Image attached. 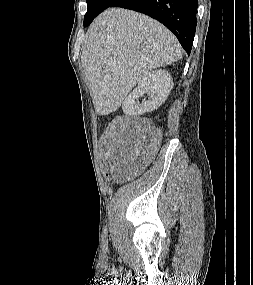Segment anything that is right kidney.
Returning a JSON list of instances; mask_svg holds the SVG:
<instances>
[{
  "mask_svg": "<svg viewBox=\"0 0 253 285\" xmlns=\"http://www.w3.org/2000/svg\"><path fill=\"white\" fill-rule=\"evenodd\" d=\"M173 80L168 71L158 69L148 72L138 83L137 87L123 102V111L128 115H142L161 106L167 99ZM148 93L149 99L138 103L139 97Z\"/></svg>",
  "mask_w": 253,
  "mask_h": 285,
  "instance_id": "right-kidney-1",
  "label": "right kidney"
}]
</instances>
